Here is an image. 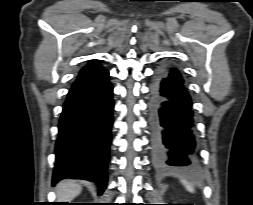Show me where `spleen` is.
Instances as JSON below:
<instances>
[{
    "mask_svg": "<svg viewBox=\"0 0 253 205\" xmlns=\"http://www.w3.org/2000/svg\"><path fill=\"white\" fill-rule=\"evenodd\" d=\"M183 182H184V185L186 186V188H187L188 191L194 192V189H193V187L190 184H188L186 181H183Z\"/></svg>",
    "mask_w": 253,
    "mask_h": 205,
    "instance_id": "obj_1",
    "label": "spleen"
}]
</instances>
